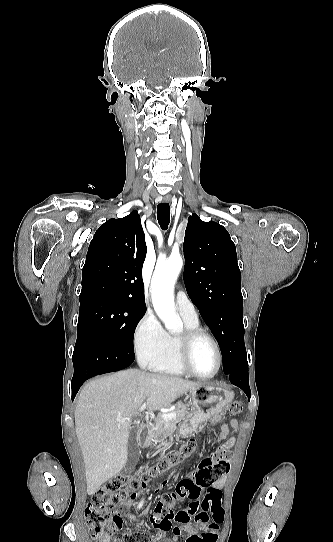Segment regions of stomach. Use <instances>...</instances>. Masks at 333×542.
I'll list each match as a JSON object with an SVG mask.
<instances>
[{"mask_svg": "<svg viewBox=\"0 0 333 542\" xmlns=\"http://www.w3.org/2000/svg\"><path fill=\"white\" fill-rule=\"evenodd\" d=\"M187 396L190 398L192 416L188 422H183L182 426H180V432L184 438L192 440L200 435L198 428L201 424H206L213 416L222 414L234 394L230 390H224V388H214V386L201 384L196 390H190ZM142 440L143 444L149 442V434L142 436Z\"/></svg>", "mask_w": 333, "mask_h": 542, "instance_id": "1", "label": "stomach"}]
</instances>
